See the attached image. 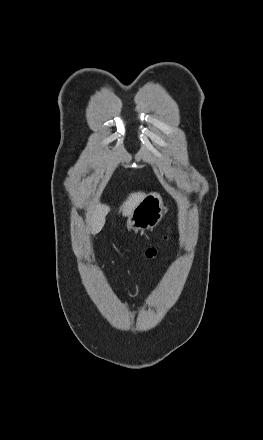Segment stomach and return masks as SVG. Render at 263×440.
<instances>
[{
    "label": "stomach",
    "mask_w": 263,
    "mask_h": 440,
    "mask_svg": "<svg viewBox=\"0 0 263 440\" xmlns=\"http://www.w3.org/2000/svg\"><path fill=\"white\" fill-rule=\"evenodd\" d=\"M165 211L164 201L159 193L144 194L128 216L127 227L135 231L153 229L160 223Z\"/></svg>",
    "instance_id": "0dacf381"
}]
</instances>
